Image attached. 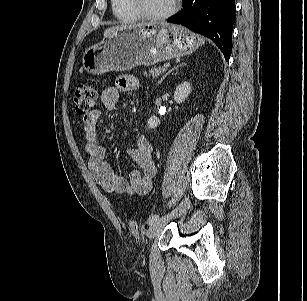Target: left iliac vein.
Instances as JSON below:
<instances>
[{"label": "left iliac vein", "instance_id": "left-iliac-vein-1", "mask_svg": "<svg viewBox=\"0 0 307 301\" xmlns=\"http://www.w3.org/2000/svg\"><path fill=\"white\" fill-rule=\"evenodd\" d=\"M189 206L188 198H185L181 203L169 214L154 222L147 231V237L152 240L172 219L178 217Z\"/></svg>", "mask_w": 307, "mask_h": 301}]
</instances>
